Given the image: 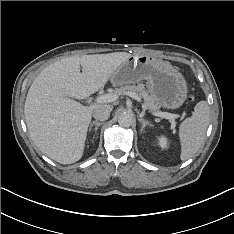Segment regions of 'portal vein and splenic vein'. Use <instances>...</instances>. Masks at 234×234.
<instances>
[{
  "label": "portal vein and splenic vein",
  "instance_id": "obj_1",
  "mask_svg": "<svg viewBox=\"0 0 234 234\" xmlns=\"http://www.w3.org/2000/svg\"><path fill=\"white\" fill-rule=\"evenodd\" d=\"M126 95L130 96L131 98L140 101V98L137 94L135 93H127ZM119 95L116 93H110V94H104L96 98L97 103H110L114 102L118 99ZM144 107V106H143ZM153 115L162 117L165 119H169L174 121L177 118V115L168 113V112H153Z\"/></svg>",
  "mask_w": 234,
  "mask_h": 234
}]
</instances>
